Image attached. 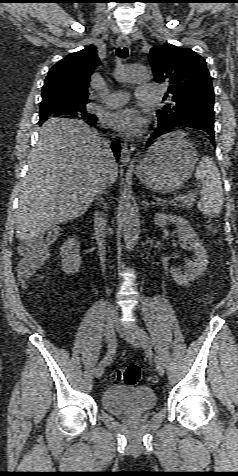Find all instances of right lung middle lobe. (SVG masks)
I'll use <instances>...</instances> for the list:
<instances>
[{"label":"right lung middle lobe","mask_w":238,"mask_h":476,"mask_svg":"<svg viewBox=\"0 0 238 476\" xmlns=\"http://www.w3.org/2000/svg\"><path fill=\"white\" fill-rule=\"evenodd\" d=\"M39 113L40 123L54 116L76 117L88 123L97 120L94 115L87 112L85 105H69L56 101L41 102Z\"/></svg>","instance_id":"dd1d6c3e"}]
</instances>
